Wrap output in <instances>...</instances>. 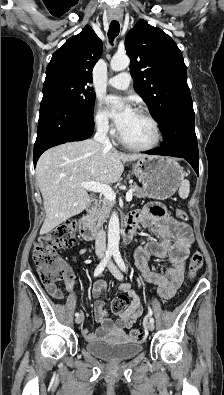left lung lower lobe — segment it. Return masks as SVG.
Returning <instances> with one entry per match:
<instances>
[{
	"instance_id": "obj_1",
	"label": "left lung lower lobe",
	"mask_w": 224,
	"mask_h": 395,
	"mask_svg": "<svg viewBox=\"0 0 224 395\" xmlns=\"http://www.w3.org/2000/svg\"><path fill=\"white\" fill-rule=\"evenodd\" d=\"M166 120L167 123L160 128L164 135L162 147L146 153L185 158L199 175V153L193 107L171 112Z\"/></svg>"
}]
</instances>
